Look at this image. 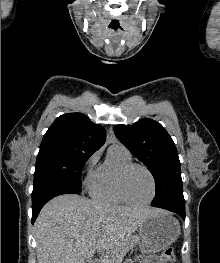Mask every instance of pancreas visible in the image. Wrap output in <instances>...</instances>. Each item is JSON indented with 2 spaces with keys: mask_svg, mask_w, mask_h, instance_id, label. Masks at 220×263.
<instances>
[{
  "mask_svg": "<svg viewBox=\"0 0 220 263\" xmlns=\"http://www.w3.org/2000/svg\"><path fill=\"white\" fill-rule=\"evenodd\" d=\"M139 242V238L137 236L129 237L125 243V246L121 250V253H125L127 250L133 248Z\"/></svg>",
  "mask_w": 220,
  "mask_h": 263,
  "instance_id": "1",
  "label": "pancreas"
}]
</instances>
